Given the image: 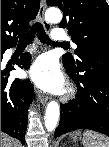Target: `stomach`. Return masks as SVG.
Masks as SVG:
<instances>
[{
	"instance_id": "stomach-1",
	"label": "stomach",
	"mask_w": 109,
	"mask_h": 147,
	"mask_svg": "<svg viewBox=\"0 0 109 147\" xmlns=\"http://www.w3.org/2000/svg\"><path fill=\"white\" fill-rule=\"evenodd\" d=\"M70 137L74 141H77V140H80L81 139V134H80V132H73V133L70 134Z\"/></svg>"
}]
</instances>
